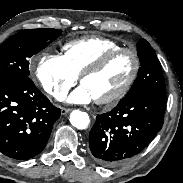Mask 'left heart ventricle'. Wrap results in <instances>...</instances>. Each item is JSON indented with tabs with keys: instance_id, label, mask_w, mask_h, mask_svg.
<instances>
[{
	"instance_id": "left-heart-ventricle-1",
	"label": "left heart ventricle",
	"mask_w": 183,
	"mask_h": 183,
	"mask_svg": "<svg viewBox=\"0 0 183 183\" xmlns=\"http://www.w3.org/2000/svg\"><path fill=\"white\" fill-rule=\"evenodd\" d=\"M133 59L127 53L117 55L104 69L86 77L84 85L94 99L106 98L121 89L128 80L132 69Z\"/></svg>"
}]
</instances>
